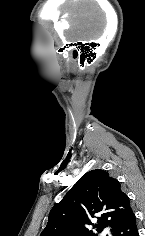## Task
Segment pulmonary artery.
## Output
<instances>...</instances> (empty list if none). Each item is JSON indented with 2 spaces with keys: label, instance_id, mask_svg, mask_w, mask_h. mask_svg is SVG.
Instances as JSON below:
<instances>
[{
  "label": "pulmonary artery",
  "instance_id": "e3ab8cb5",
  "mask_svg": "<svg viewBox=\"0 0 145 236\" xmlns=\"http://www.w3.org/2000/svg\"><path fill=\"white\" fill-rule=\"evenodd\" d=\"M104 234L110 235V230H109L108 228H105V229H104Z\"/></svg>",
  "mask_w": 145,
  "mask_h": 236
}]
</instances>
